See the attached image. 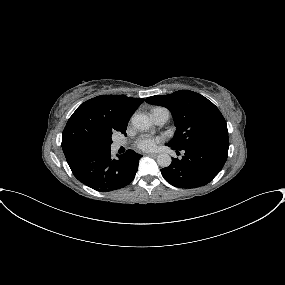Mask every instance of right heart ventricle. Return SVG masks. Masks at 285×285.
I'll use <instances>...</instances> for the list:
<instances>
[{
    "label": "right heart ventricle",
    "instance_id": "right-heart-ventricle-1",
    "mask_svg": "<svg viewBox=\"0 0 285 285\" xmlns=\"http://www.w3.org/2000/svg\"><path fill=\"white\" fill-rule=\"evenodd\" d=\"M155 109H161V108H155ZM155 109H153V110H155ZM153 110H152V111H153Z\"/></svg>",
    "mask_w": 285,
    "mask_h": 285
}]
</instances>
